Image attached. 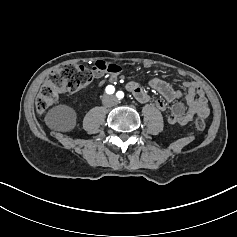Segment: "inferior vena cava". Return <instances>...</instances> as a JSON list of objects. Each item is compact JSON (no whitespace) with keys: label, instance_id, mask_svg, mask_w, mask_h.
Returning <instances> with one entry per match:
<instances>
[{"label":"inferior vena cava","instance_id":"1","mask_svg":"<svg viewBox=\"0 0 237 237\" xmlns=\"http://www.w3.org/2000/svg\"><path fill=\"white\" fill-rule=\"evenodd\" d=\"M107 99V97H105L103 100H106ZM115 100V99H114ZM116 101V100H115ZM103 104L104 105H107V106H112V105H114V103H111V104H105L104 102H103Z\"/></svg>","mask_w":237,"mask_h":237}]
</instances>
